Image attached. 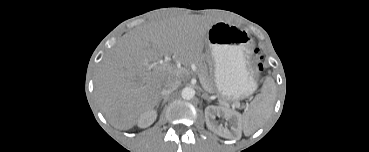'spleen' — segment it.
<instances>
[{
	"label": "spleen",
	"mask_w": 369,
	"mask_h": 152,
	"mask_svg": "<svg viewBox=\"0 0 369 152\" xmlns=\"http://www.w3.org/2000/svg\"><path fill=\"white\" fill-rule=\"evenodd\" d=\"M274 101V83L267 79L263 92L256 96L250 108L240 116V123L245 134H252L269 118Z\"/></svg>",
	"instance_id": "spleen-1"
}]
</instances>
